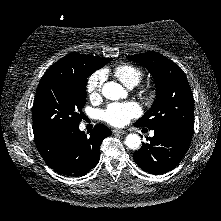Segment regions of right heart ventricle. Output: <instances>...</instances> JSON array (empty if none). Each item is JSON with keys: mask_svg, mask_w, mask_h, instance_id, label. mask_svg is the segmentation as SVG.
Returning <instances> with one entry per match:
<instances>
[{"mask_svg": "<svg viewBox=\"0 0 221 221\" xmlns=\"http://www.w3.org/2000/svg\"><path fill=\"white\" fill-rule=\"evenodd\" d=\"M113 73L119 81L129 88L136 86L143 77V72L139 67L128 63L116 66Z\"/></svg>", "mask_w": 221, "mask_h": 221, "instance_id": "right-heart-ventricle-1", "label": "right heart ventricle"}]
</instances>
